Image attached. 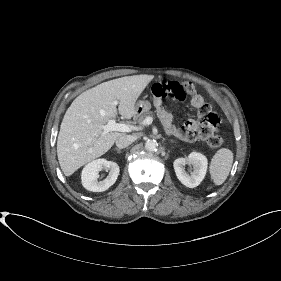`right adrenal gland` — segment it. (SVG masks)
<instances>
[{"instance_id": "1", "label": "right adrenal gland", "mask_w": 281, "mask_h": 281, "mask_svg": "<svg viewBox=\"0 0 281 281\" xmlns=\"http://www.w3.org/2000/svg\"><path fill=\"white\" fill-rule=\"evenodd\" d=\"M115 149H116V151H118V152L120 151V149H118V148H115Z\"/></svg>"}]
</instances>
